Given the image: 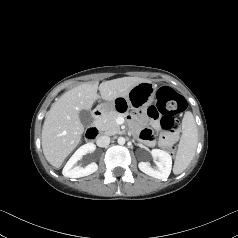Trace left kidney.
<instances>
[{
    "instance_id": "left-kidney-1",
    "label": "left kidney",
    "mask_w": 238,
    "mask_h": 238,
    "mask_svg": "<svg viewBox=\"0 0 238 238\" xmlns=\"http://www.w3.org/2000/svg\"><path fill=\"white\" fill-rule=\"evenodd\" d=\"M151 155L154 159L158 160L156 162V167L152 168L148 162H140L138 164L139 169L154 178L162 180L167 179L172 169L171 155L160 149H153Z\"/></svg>"
}]
</instances>
